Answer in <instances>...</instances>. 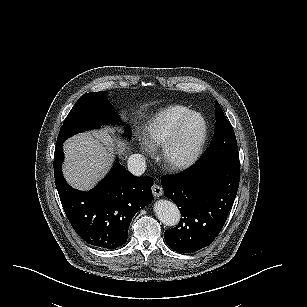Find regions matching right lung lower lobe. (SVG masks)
<instances>
[{
    "instance_id": "obj_1",
    "label": "right lung lower lobe",
    "mask_w": 307,
    "mask_h": 307,
    "mask_svg": "<svg viewBox=\"0 0 307 307\" xmlns=\"http://www.w3.org/2000/svg\"><path fill=\"white\" fill-rule=\"evenodd\" d=\"M63 143L56 145V188L76 233L88 244L115 249L127 241L128 227L136 212L152 201V177H136L118 161L94 189L83 192L70 187L61 171Z\"/></svg>"
}]
</instances>
